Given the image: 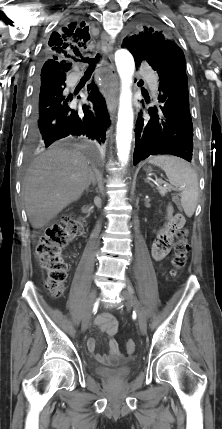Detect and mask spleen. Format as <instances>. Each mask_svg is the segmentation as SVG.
<instances>
[{
  "instance_id": "1",
  "label": "spleen",
  "mask_w": 222,
  "mask_h": 429,
  "mask_svg": "<svg viewBox=\"0 0 222 429\" xmlns=\"http://www.w3.org/2000/svg\"><path fill=\"white\" fill-rule=\"evenodd\" d=\"M149 163L160 167L166 174L170 184L181 191V204L185 214L191 217L196 209L199 187L197 174L184 160L168 155L153 156Z\"/></svg>"
}]
</instances>
